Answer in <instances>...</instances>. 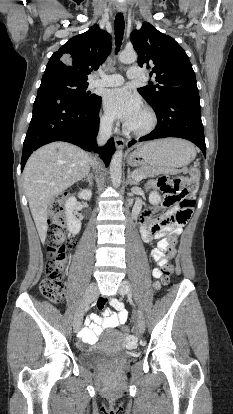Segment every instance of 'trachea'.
<instances>
[{"mask_svg":"<svg viewBox=\"0 0 233 414\" xmlns=\"http://www.w3.org/2000/svg\"><path fill=\"white\" fill-rule=\"evenodd\" d=\"M124 16L122 13H118L115 17V44H116V52L120 50V46L122 44L123 35H124Z\"/></svg>","mask_w":233,"mask_h":414,"instance_id":"obj_1","label":"trachea"}]
</instances>
